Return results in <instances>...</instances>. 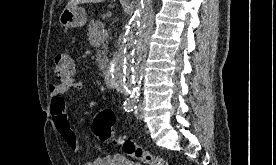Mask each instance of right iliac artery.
Segmentation results:
<instances>
[{
  "instance_id": "obj_1",
  "label": "right iliac artery",
  "mask_w": 276,
  "mask_h": 165,
  "mask_svg": "<svg viewBox=\"0 0 276 165\" xmlns=\"http://www.w3.org/2000/svg\"><path fill=\"white\" fill-rule=\"evenodd\" d=\"M137 103H138V100L128 99L127 101L124 102L123 108L126 112H132L137 108Z\"/></svg>"
}]
</instances>
